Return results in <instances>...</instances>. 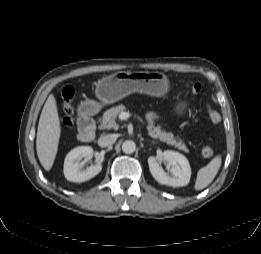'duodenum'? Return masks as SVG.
Returning <instances> with one entry per match:
<instances>
[{
  "label": "duodenum",
  "instance_id": "obj_1",
  "mask_svg": "<svg viewBox=\"0 0 261 254\" xmlns=\"http://www.w3.org/2000/svg\"><path fill=\"white\" fill-rule=\"evenodd\" d=\"M95 110L89 106H82L77 125L79 129V139L82 142H91L96 136V126L94 123Z\"/></svg>",
  "mask_w": 261,
  "mask_h": 254
}]
</instances>
